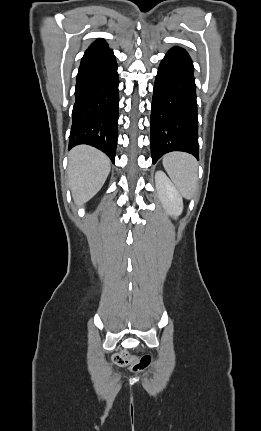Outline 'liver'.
Instances as JSON below:
<instances>
[{"instance_id":"liver-1","label":"liver","mask_w":261,"mask_h":431,"mask_svg":"<svg viewBox=\"0 0 261 431\" xmlns=\"http://www.w3.org/2000/svg\"><path fill=\"white\" fill-rule=\"evenodd\" d=\"M110 172L109 158L98 149L79 145L69 153L68 182L74 202L81 205L93 197Z\"/></svg>"}]
</instances>
